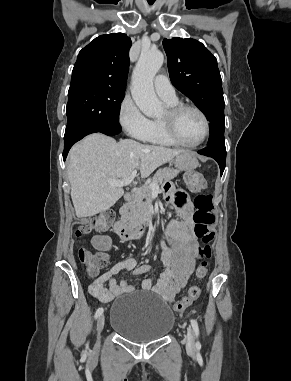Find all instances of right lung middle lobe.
Listing matches in <instances>:
<instances>
[{
  "label": "right lung middle lobe",
  "mask_w": 291,
  "mask_h": 381,
  "mask_svg": "<svg viewBox=\"0 0 291 381\" xmlns=\"http://www.w3.org/2000/svg\"><path fill=\"white\" fill-rule=\"evenodd\" d=\"M124 91L125 88L70 85L64 140H78L93 129L119 125L118 115Z\"/></svg>",
  "instance_id": "right-lung-middle-lobe-1"
}]
</instances>
